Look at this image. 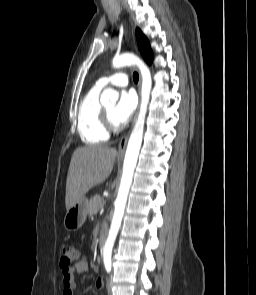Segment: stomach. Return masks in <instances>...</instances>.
I'll return each instance as SVG.
<instances>
[{
	"mask_svg": "<svg viewBox=\"0 0 256 295\" xmlns=\"http://www.w3.org/2000/svg\"><path fill=\"white\" fill-rule=\"evenodd\" d=\"M88 200L82 198L69 210H67L63 225L68 231H76L82 227L87 217Z\"/></svg>",
	"mask_w": 256,
	"mask_h": 295,
	"instance_id": "stomach-1",
	"label": "stomach"
}]
</instances>
